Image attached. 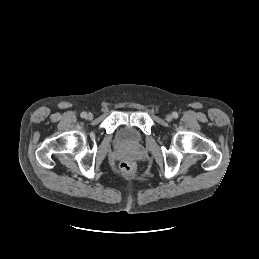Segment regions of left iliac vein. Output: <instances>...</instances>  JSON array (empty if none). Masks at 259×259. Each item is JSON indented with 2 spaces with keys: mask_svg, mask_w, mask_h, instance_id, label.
<instances>
[{
  "mask_svg": "<svg viewBox=\"0 0 259 259\" xmlns=\"http://www.w3.org/2000/svg\"><path fill=\"white\" fill-rule=\"evenodd\" d=\"M165 119L166 121L170 122L173 119V117L172 115L168 114Z\"/></svg>",
  "mask_w": 259,
  "mask_h": 259,
  "instance_id": "1",
  "label": "left iliac vein"
}]
</instances>
